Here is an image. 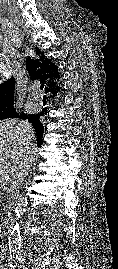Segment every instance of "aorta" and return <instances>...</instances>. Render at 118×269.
<instances>
[{"mask_svg":"<svg viewBox=\"0 0 118 269\" xmlns=\"http://www.w3.org/2000/svg\"><path fill=\"white\" fill-rule=\"evenodd\" d=\"M27 199L23 194H16L14 199L15 224L10 232L8 245L11 252H17L21 245V218L26 211Z\"/></svg>","mask_w":118,"mask_h":269,"instance_id":"762f6f07","label":"aorta"}]
</instances>
